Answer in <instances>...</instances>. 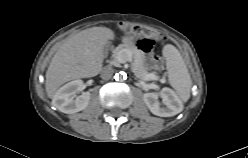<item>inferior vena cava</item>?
<instances>
[{
  "instance_id": "obj_1",
  "label": "inferior vena cava",
  "mask_w": 248,
  "mask_h": 158,
  "mask_svg": "<svg viewBox=\"0 0 248 158\" xmlns=\"http://www.w3.org/2000/svg\"><path fill=\"white\" fill-rule=\"evenodd\" d=\"M113 73H114L113 68H112V67H108V68H106V69L103 71L102 77H103L104 79H109V78L112 77Z\"/></svg>"
}]
</instances>
